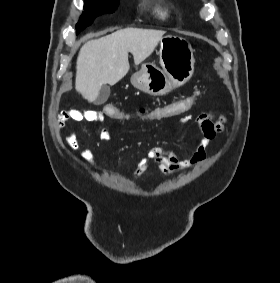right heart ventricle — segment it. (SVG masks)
<instances>
[{
    "label": "right heart ventricle",
    "mask_w": 280,
    "mask_h": 283,
    "mask_svg": "<svg viewBox=\"0 0 280 283\" xmlns=\"http://www.w3.org/2000/svg\"><path fill=\"white\" fill-rule=\"evenodd\" d=\"M168 14L167 12V9L165 7H161L159 10H158V15L162 18L166 17Z\"/></svg>",
    "instance_id": "obj_1"
}]
</instances>
